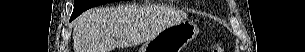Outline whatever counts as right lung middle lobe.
Returning <instances> with one entry per match:
<instances>
[{
	"label": "right lung middle lobe",
	"mask_w": 305,
	"mask_h": 52,
	"mask_svg": "<svg viewBox=\"0 0 305 52\" xmlns=\"http://www.w3.org/2000/svg\"><path fill=\"white\" fill-rule=\"evenodd\" d=\"M113 1H117V0H75L72 19L76 18L82 12L86 11L87 9H89L91 7H95V6L113 2Z\"/></svg>",
	"instance_id": "dd1d6c3e"
}]
</instances>
